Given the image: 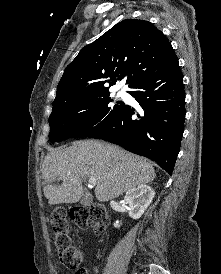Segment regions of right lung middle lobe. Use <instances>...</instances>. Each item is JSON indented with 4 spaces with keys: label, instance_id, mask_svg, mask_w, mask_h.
<instances>
[{
    "label": "right lung middle lobe",
    "instance_id": "dd1d6c3e",
    "mask_svg": "<svg viewBox=\"0 0 221 274\" xmlns=\"http://www.w3.org/2000/svg\"><path fill=\"white\" fill-rule=\"evenodd\" d=\"M124 105L122 101L115 102L109 93L55 103L49 117V140L88 137L109 124Z\"/></svg>",
    "mask_w": 221,
    "mask_h": 274
}]
</instances>
